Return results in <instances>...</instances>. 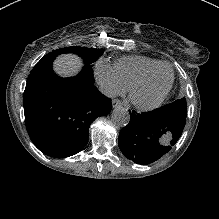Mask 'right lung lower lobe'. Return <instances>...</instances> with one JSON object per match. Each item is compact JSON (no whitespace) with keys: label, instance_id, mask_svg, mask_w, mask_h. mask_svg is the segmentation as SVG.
<instances>
[{"label":"right lung lower lobe","instance_id":"obj_1","mask_svg":"<svg viewBox=\"0 0 219 219\" xmlns=\"http://www.w3.org/2000/svg\"><path fill=\"white\" fill-rule=\"evenodd\" d=\"M55 57L41 59L31 71L24 91L26 128L43 153L63 158L87 143L90 124L111 111L110 99L93 86V71L63 79L52 71Z\"/></svg>","mask_w":219,"mask_h":219}]
</instances>
